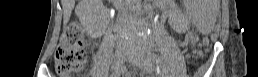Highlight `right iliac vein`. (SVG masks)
I'll return each instance as SVG.
<instances>
[{
	"label": "right iliac vein",
	"mask_w": 258,
	"mask_h": 77,
	"mask_svg": "<svg viewBox=\"0 0 258 77\" xmlns=\"http://www.w3.org/2000/svg\"><path fill=\"white\" fill-rule=\"evenodd\" d=\"M123 62H124V56L123 54H116L113 62V68L116 73H119L123 70Z\"/></svg>",
	"instance_id": "63e3f726"
}]
</instances>
